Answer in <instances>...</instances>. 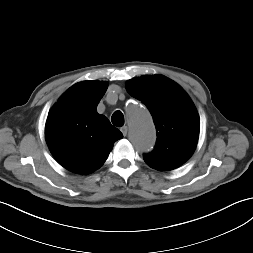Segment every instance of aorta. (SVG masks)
<instances>
[{
    "instance_id": "aorta-1",
    "label": "aorta",
    "mask_w": 253,
    "mask_h": 253,
    "mask_svg": "<svg viewBox=\"0 0 253 253\" xmlns=\"http://www.w3.org/2000/svg\"><path fill=\"white\" fill-rule=\"evenodd\" d=\"M129 137L140 152H149L155 143V127L148 111L138 104L128 107Z\"/></svg>"
}]
</instances>
